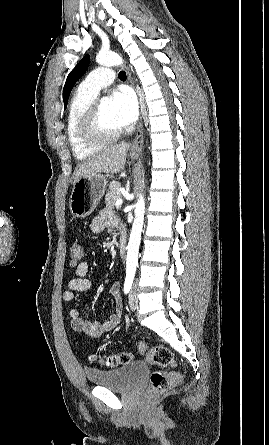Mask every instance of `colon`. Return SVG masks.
Segmentation results:
<instances>
[{"label":"colon","mask_w":269,"mask_h":445,"mask_svg":"<svg viewBox=\"0 0 269 445\" xmlns=\"http://www.w3.org/2000/svg\"><path fill=\"white\" fill-rule=\"evenodd\" d=\"M83 257V248L80 244H74L70 248V261L72 266H77ZM140 353H146L147 360L159 369L150 375L149 394L155 395L167 391L180 381V375L172 368L174 366L173 353L165 346L155 345L147 348L144 342L138 343ZM133 359L130 353H119L106 357L91 356V360L114 367L125 365Z\"/></svg>","instance_id":"colon-1"}]
</instances>
